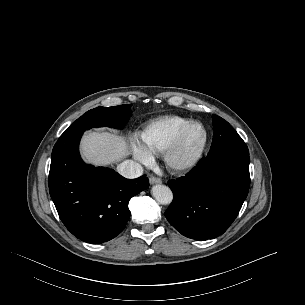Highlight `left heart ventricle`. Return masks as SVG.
<instances>
[{
  "instance_id": "b2bd125f",
  "label": "left heart ventricle",
  "mask_w": 305,
  "mask_h": 305,
  "mask_svg": "<svg viewBox=\"0 0 305 305\" xmlns=\"http://www.w3.org/2000/svg\"><path fill=\"white\" fill-rule=\"evenodd\" d=\"M204 139V131L201 127L196 126L188 133L182 151V157H189L193 155L201 146Z\"/></svg>"
}]
</instances>
